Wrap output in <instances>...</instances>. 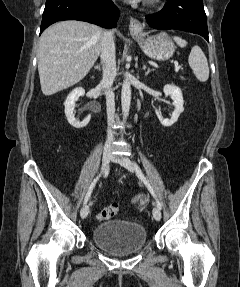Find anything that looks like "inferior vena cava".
Listing matches in <instances>:
<instances>
[{
    "mask_svg": "<svg viewBox=\"0 0 240 287\" xmlns=\"http://www.w3.org/2000/svg\"><path fill=\"white\" fill-rule=\"evenodd\" d=\"M100 57L103 65V77L101 85L105 89L108 120L107 140L105 148H110L111 143L114 140V132L110 126L114 122L115 115V95L111 87L116 76L115 43L112 30H107L103 34Z\"/></svg>",
    "mask_w": 240,
    "mask_h": 287,
    "instance_id": "inferior-vena-cava-1",
    "label": "inferior vena cava"
}]
</instances>
